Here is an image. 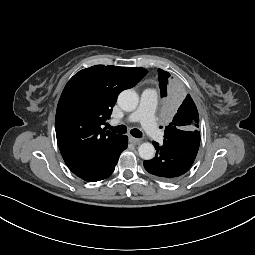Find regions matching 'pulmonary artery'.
Wrapping results in <instances>:
<instances>
[{
    "instance_id": "obj_1",
    "label": "pulmonary artery",
    "mask_w": 255,
    "mask_h": 255,
    "mask_svg": "<svg viewBox=\"0 0 255 255\" xmlns=\"http://www.w3.org/2000/svg\"><path fill=\"white\" fill-rule=\"evenodd\" d=\"M157 104V92L154 89H145L141 94L138 108L131 113L126 122H141L147 134L154 140L162 139V132L155 121V108Z\"/></svg>"
}]
</instances>
